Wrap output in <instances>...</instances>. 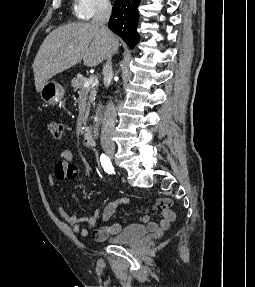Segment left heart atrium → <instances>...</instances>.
Wrapping results in <instances>:
<instances>
[{"label":"left heart atrium","mask_w":255,"mask_h":287,"mask_svg":"<svg viewBox=\"0 0 255 287\" xmlns=\"http://www.w3.org/2000/svg\"><path fill=\"white\" fill-rule=\"evenodd\" d=\"M113 13H117V11ZM76 33H93V32H76ZM74 39H91V38H74ZM79 48H88V47H79Z\"/></svg>","instance_id":"39dd6f15"}]
</instances>
